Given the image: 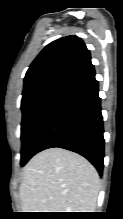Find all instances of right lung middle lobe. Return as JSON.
I'll list each match as a JSON object with an SVG mask.
<instances>
[{"mask_svg":"<svg viewBox=\"0 0 123 219\" xmlns=\"http://www.w3.org/2000/svg\"><path fill=\"white\" fill-rule=\"evenodd\" d=\"M69 80H53L23 93L21 101V166L32 157V146L52 107Z\"/></svg>","mask_w":123,"mask_h":219,"instance_id":"dd1d6c3e","label":"right lung middle lobe"}]
</instances>
